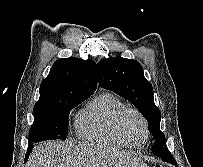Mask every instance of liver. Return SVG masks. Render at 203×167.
Listing matches in <instances>:
<instances>
[{
	"mask_svg": "<svg viewBox=\"0 0 203 167\" xmlns=\"http://www.w3.org/2000/svg\"><path fill=\"white\" fill-rule=\"evenodd\" d=\"M26 167H147L131 154L70 141H47L35 147Z\"/></svg>",
	"mask_w": 203,
	"mask_h": 167,
	"instance_id": "liver-1",
	"label": "liver"
}]
</instances>
